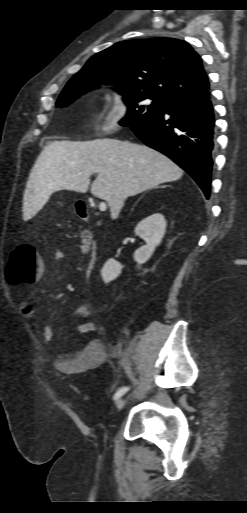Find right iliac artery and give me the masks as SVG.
Instances as JSON below:
<instances>
[{
	"mask_svg": "<svg viewBox=\"0 0 247 513\" xmlns=\"http://www.w3.org/2000/svg\"><path fill=\"white\" fill-rule=\"evenodd\" d=\"M129 387H122L120 389H118L116 391V393L114 394V397L113 399L114 400H117L118 398H120L122 395H124L127 391H128Z\"/></svg>",
	"mask_w": 247,
	"mask_h": 513,
	"instance_id": "obj_1",
	"label": "right iliac artery"
}]
</instances>
